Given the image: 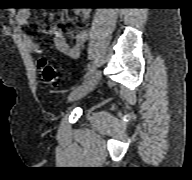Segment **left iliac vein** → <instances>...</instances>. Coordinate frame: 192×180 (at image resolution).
I'll return each mask as SVG.
<instances>
[{"instance_id":"1","label":"left iliac vein","mask_w":192,"mask_h":180,"mask_svg":"<svg viewBox=\"0 0 192 180\" xmlns=\"http://www.w3.org/2000/svg\"><path fill=\"white\" fill-rule=\"evenodd\" d=\"M100 79L101 71L94 72L86 81H84L79 87L71 92V94L69 95V100H78L87 95L98 84Z\"/></svg>"}]
</instances>
